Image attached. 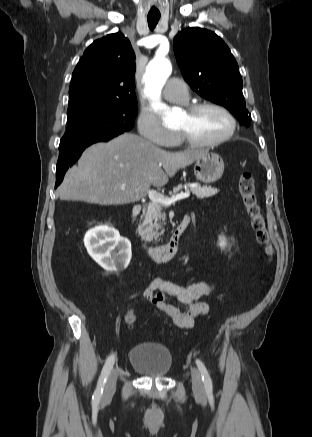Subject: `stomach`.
<instances>
[{
    "instance_id": "stomach-1",
    "label": "stomach",
    "mask_w": 312,
    "mask_h": 437,
    "mask_svg": "<svg viewBox=\"0 0 312 437\" xmlns=\"http://www.w3.org/2000/svg\"><path fill=\"white\" fill-rule=\"evenodd\" d=\"M224 172V162L216 153L206 152L195 161L194 174L204 183L219 180Z\"/></svg>"
}]
</instances>
